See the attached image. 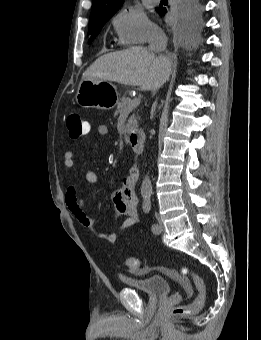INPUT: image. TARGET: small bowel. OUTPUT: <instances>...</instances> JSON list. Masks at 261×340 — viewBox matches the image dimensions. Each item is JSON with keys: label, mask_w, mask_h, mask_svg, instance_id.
Returning a JSON list of instances; mask_svg holds the SVG:
<instances>
[{"label": "small bowel", "mask_w": 261, "mask_h": 340, "mask_svg": "<svg viewBox=\"0 0 261 340\" xmlns=\"http://www.w3.org/2000/svg\"><path fill=\"white\" fill-rule=\"evenodd\" d=\"M85 135L90 132V124L84 122ZM97 132L100 136L106 137L109 134L106 125H99ZM75 152L66 150L64 152V165L67 168H73L75 165ZM87 182L96 184L98 182L97 174L92 170H87L85 173ZM139 178V170L132 166L128 170L127 177L124 179L121 188L115 190L112 194L113 203L118 212L126 217L120 224L121 230L129 229L139 221V213L137 209V196L135 193L136 183ZM65 202L75 219L88 231L95 232V221L87 214L85 210L84 200L80 196L79 190L75 185H69L65 193ZM98 239L106 243H114L116 234L113 232H97ZM186 293L192 294V287L186 286Z\"/></svg>", "instance_id": "1"}]
</instances>
